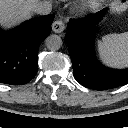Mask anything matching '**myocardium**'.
<instances>
[{
  "label": "myocardium",
  "instance_id": "f54148a6",
  "mask_svg": "<svg viewBox=\"0 0 128 128\" xmlns=\"http://www.w3.org/2000/svg\"><path fill=\"white\" fill-rule=\"evenodd\" d=\"M84 4H85V6H86L88 3H87V2H85Z\"/></svg>",
  "mask_w": 128,
  "mask_h": 128
}]
</instances>
